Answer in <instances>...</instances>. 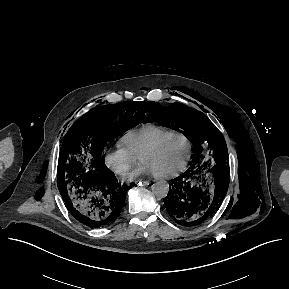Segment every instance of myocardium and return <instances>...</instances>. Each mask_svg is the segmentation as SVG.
Segmentation results:
<instances>
[{
	"instance_id": "f54148a6",
	"label": "myocardium",
	"mask_w": 289,
	"mask_h": 289,
	"mask_svg": "<svg viewBox=\"0 0 289 289\" xmlns=\"http://www.w3.org/2000/svg\"><path fill=\"white\" fill-rule=\"evenodd\" d=\"M174 137H180L182 138L183 140H185V142L187 143V146H188V154H187V157H186V160L184 161V163L175 171H172V172H169V173H163V174H156V173H153L155 177L157 178H164V179H167V178H173V177H176L178 175H180L181 173H183L190 160H191V157H192V143L190 141V139L183 133L181 132H178V131H175V132H172V133H169L165 136H163L162 138L158 139L156 142H154L151 146H149L140 156V160L143 161V159L145 157H147L148 155L156 152L160 146L166 142L167 140L171 139V138H174Z\"/></svg>"
}]
</instances>
